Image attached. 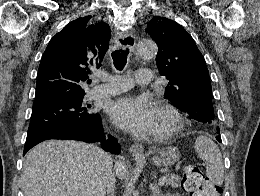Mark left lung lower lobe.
I'll return each mask as SVG.
<instances>
[{
	"label": "left lung lower lobe",
	"mask_w": 260,
	"mask_h": 196,
	"mask_svg": "<svg viewBox=\"0 0 260 196\" xmlns=\"http://www.w3.org/2000/svg\"><path fill=\"white\" fill-rule=\"evenodd\" d=\"M190 119L202 122V123H208L210 121H213L216 119L213 107L211 106H205V107H197L195 110H192L190 112ZM217 133H220L219 127L217 128ZM216 139L221 142V137L218 135Z\"/></svg>",
	"instance_id": "0a47b994"
}]
</instances>
